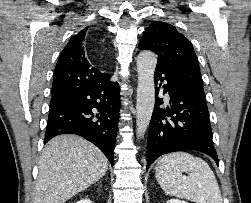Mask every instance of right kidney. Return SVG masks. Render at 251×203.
I'll use <instances>...</instances> for the list:
<instances>
[{"mask_svg":"<svg viewBox=\"0 0 251 203\" xmlns=\"http://www.w3.org/2000/svg\"><path fill=\"white\" fill-rule=\"evenodd\" d=\"M76 203H92V201L89 199H81L80 201H78Z\"/></svg>","mask_w":251,"mask_h":203,"instance_id":"ca27d5eb","label":"right kidney"}]
</instances>
